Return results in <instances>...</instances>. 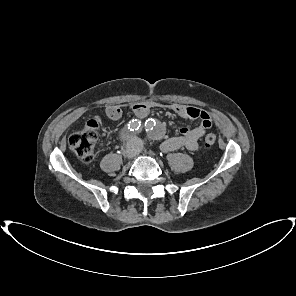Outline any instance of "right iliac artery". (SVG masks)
I'll return each instance as SVG.
<instances>
[{
  "mask_svg": "<svg viewBox=\"0 0 296 296\" xmlns=\"http://www.w3.org/2000/svg\"><path fill=\"white\" fill-rule=\"evenodd\" d=\"M140 126H141V122L140 121H138L136 119L135 120L133 119L132 121H130L128 123L127 127L124 128L123 131H122V133H121L122 139H124V140L126 139L128 131H132V132L135 131L136 132V131L139 130Z\"/></svg>",
  "mask_w": 296,
  "mask_h": 296,
  "instance_id": "obj_1",
  "label": "right iliac artery"
}]
</instances>
